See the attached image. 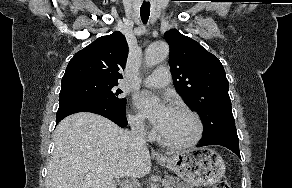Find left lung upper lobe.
<instances>
[{
  "instance_id": "obj_1",
  "label": "left lung upper lobe",
  "mask_w": 292,
  "mask_h": 188,
  "mask_svg": "<svg viewBox=\"0 0 292 188\" xmlns=\"http://www.w3.org/2000/svg\"><path fill=\"white\" fill-rule=\"evenodd\" d=\"M170 46L169 65L178 94L202 119L207 137L235 127L229 83L219 59L176 29L164 34Z\"/></svg>"
}]
</instances>
